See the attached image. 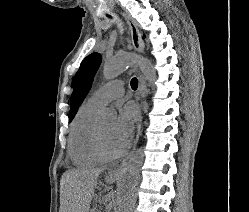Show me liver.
<instances>
[{"label": "liver", "instance_id": "obj_1", "mask_svg": "<svg viewBox=\"0 0 249 212\" xmlns=\"http://www.w3.org/2000/svg\"><path fill=\"white\" fill-rule=\"evenodd\" d=\"M104 168H81L69 170L64 176L67 188V212H89L94 198V188ZM118 174L109 172L105 176L107 184H114Z\"/></svg>", "mask_w": 249, "mask_h": 212}]
</instances>
